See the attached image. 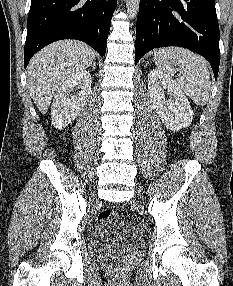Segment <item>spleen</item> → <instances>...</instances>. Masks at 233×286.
Wrapping results in <instances>:
<instances>
[{"instance_id": "obj_1", "label": "spleen", "mask_w": 233, "mask_h": 286, "mask_svg": "<svg viewBox=\"0 0 233 286\" xmlns=\"http://www.w3.org/2000/svg\"><path fill=\"white\" fill-rule=\"evenodd\" d=\"M154 62L162 73L174 75L179 68L178 85L195 104H207L211 91L209 65L193 51L182 47H163L154 51Z\"/></svg>"}]
</instances>
